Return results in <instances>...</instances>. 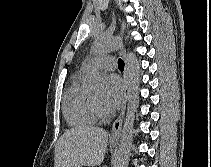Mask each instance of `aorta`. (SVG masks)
Here are the masks:
<instances>
[{
    "label": "aorta",
    "instance_id": "762f6f07",
    "mask_svg": "<svg viewBox=\"0 0 211 167\" xmlns=\"http://www.w3.org/2000/svg\"><path fill=\"white\" fill-rule=\"evenodd\" d=\"M122 44L119 39L113 36H99L94 45L93 52L96 55H102L111 51H116L121 49ZM128 75L130 81V89L127 97L128 106L127 113L123 125L122 135L120 139L119 150L116 156L114 167H127L129 156L132 147L133 138V125L135 120V112L137 108V99L140 83V65L137 57L128 52L126 56ZM106 84V77L96 72L92 78V85L100 89Z\"/></svg>",
    "mask_w": 211,
    "mask_h": 167
}]
</instances>
